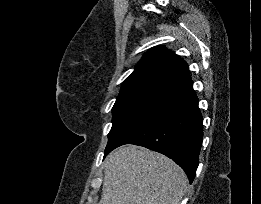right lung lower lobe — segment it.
Masks as SVG:
<instances>
[{"label":"right lung lower lobe","instance_id":"right-lung-lower-lobe-1","mask_svg":"<svg viewBox=\"0 0 261 204\" xmlns=\"http://www.w3.org/2000/svg\"><path fill=\"white\" fill-rule=\"evenodd\" d=\"M192 86L190 80L171 91L104 156L124 144L144 146L171 158L192 183L199 164L203 136V118Z\"/></svg>","mask_w":261,"mask_h":204}]
</instances>
